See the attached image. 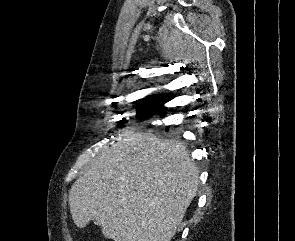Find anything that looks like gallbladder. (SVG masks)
Returning a JSON list of instances; mask_svg holds the SVG:
<instances>
[{"label":"gallbladder","instance_id":"1","mask_svg":"<svg viewBox=\"0 0 295 241\" xmlns=\"http://www.w3.org/2000/svg\"><path fill=\"white\" fill-rule=\"evenodd\" d=\"M94 222H95V224L100 225L99 221H95V220H94Z\"/></svg>","mask_w":295,"mask_h":241}]
</instances>
